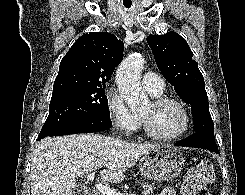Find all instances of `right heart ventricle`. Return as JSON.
<instances>
[{"label": "right heart ventricle", "instance_id": "obj_1", "mask_svg": "<svg viewBox=\"0 0 245 195\" xmlns=\"http://www.w3.org/2000/svg\"><path fill=\"white\" fill-rule=\"evenodd\" d=\"M152 95V94H151ZM153 97H158L159 96V94H157V95H152Z\"/></svg>", "mask_w": 245, "mask_h": 195}]
</instances>
